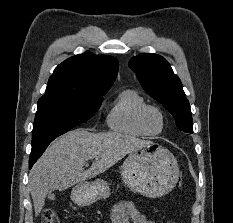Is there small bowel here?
Here are the masks:
<instances>
[{
	"label": "small bowel",
	"instance_id": "small-bowel-1",
	"mask_svg": "<svg viewBox=\"0 0 233 223\" xmlns=\"http://www.w3.org/2000/svg\"><path fill=\"white\" fill-rule=\"evenodd\" d=\"M111 223H155V221L148 219L132 202L123 200L113 207Z\"/></svg>",
	"mask_w": 233,
	"mask_h": 223
}]
</instances>
